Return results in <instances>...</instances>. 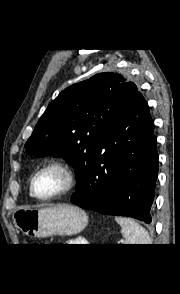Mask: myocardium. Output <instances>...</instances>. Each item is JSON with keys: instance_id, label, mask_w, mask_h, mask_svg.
I'll use <instances>...</instances> for the list:
<instances>
[{"instance_id": "myocardium-1", "label": "myocardium", "mask_w": 180, "mask_h": 294, "mask_svg": "<svg viewBox=\"0 0 180 294\" xmlns=\"http://www.w3.org/2000/svg\"><path fill=\"white\" fill-rule=\"evenodd\" d=\"M48 170H57L62 173L64 176V185L60 190L53 194L41 196L36 192L35 181L41 173ZM76 185L77 176L73 166L65 160L57 159L49 161L33 174L30 180V193L39 200L50 201L71 192L76 187Z\"/></svg>"}]
</instances>
